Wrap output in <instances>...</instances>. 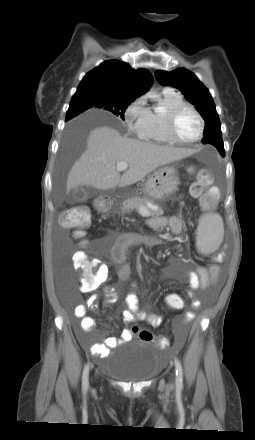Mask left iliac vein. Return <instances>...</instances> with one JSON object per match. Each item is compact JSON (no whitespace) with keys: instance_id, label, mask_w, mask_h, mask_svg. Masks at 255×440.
<instances>
[{"instance_id":"obj_1","label":"left iliac vein","mask_w":255,"mask_h":440,"mask_svg":"<svg viewBox=\"0 0 255 440\" xmlns=\"http://www.w3.org/2000/svg\"><path fill=\"white\" fill-rule=\"evenodd\" d=\"M173 385H174V384H173V382H171V383H170V388H172V387H173Z\"/></svg>"}]
</instances>
